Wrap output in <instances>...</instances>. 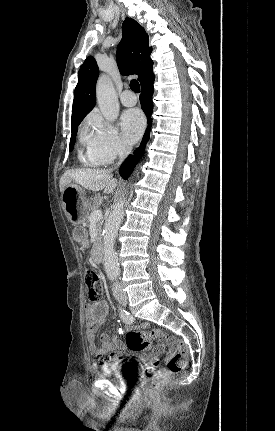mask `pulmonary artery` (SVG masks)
<instances>
[{"label": "pulmonary artery", "mask_w": 275, "mask_h": 431, "mask_svg": "<svg viewBox=\"0 0 275 431\" xmlns=\"http://www.w3.org/2000/svg\"><path fill=\"white\" fill-rule=\"evenodd\" d=\"M121 103L124 106H134L137 103V97L130 90H125L120 96Z\"/></svg>", "instance_id": "pulmonary-artery-1"}]
</instances>
